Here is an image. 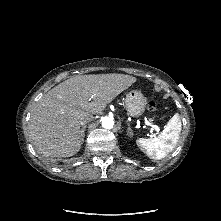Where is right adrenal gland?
I'll return each instance as SVG.
<instances>
[{"mask_svg": "<svg viewBox=\"0 0 221 221\" xmlns=\"http://www.w3.org/2000/svg\"><path fill=\"white\" fill-rule=\"evenodd\" d=\"M86 125H84L81 129V141H84V136H85V130H86Z\"/></svg>", "mask_w": 221, "mask_h": 221, "instance_id": "2a0ac1e0", "label": "right adrenal gland"}]
</instances>
